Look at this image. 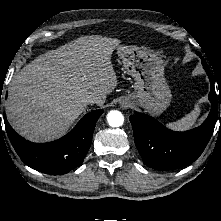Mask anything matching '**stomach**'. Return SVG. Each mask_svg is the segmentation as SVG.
Instances as JSON below:
<instances>
[{
  "mask_svg": "<svg viewBox=\"0 0 221 221\" xmlns=\"http://www.w3.org/2000/svg\"><path fill=\"white\" fill-rule=\"evenodd\" d=\"M117 52L127 73L135 80L134 91L122 97L121 104L125 106L129 102L144 108L151 115L161 114L171 101L161 56L136 46H120Z\"/></svg>",
  "mask_w": 221,
  "mask_h": 221,
  "instance_id": "stomach-1",
  "label": "stomach"
}]
</instances>
